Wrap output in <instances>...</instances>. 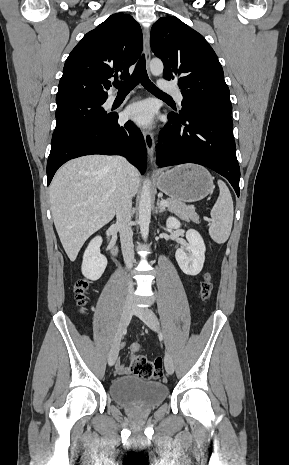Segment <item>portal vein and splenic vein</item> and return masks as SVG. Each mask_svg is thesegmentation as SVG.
Masks as SVG:
<instances>
[{
  "mask_svg": "<svg viewBox=\"0 0 289 465\" xmlns=\"http://www.w3.org/2000/svg\"><path fill=\"white\" fill-rule=\"evenodd\" d=\"M160 204H161L162 206H167L169 203H168L167 200H161V201H160Z\"/></svg>",
  "mask_w": 289,
  "mask_h": 465,
  "instance_id": "18ae733b",
  "label": "portal vein and splenic vein"
}]
</instances>
